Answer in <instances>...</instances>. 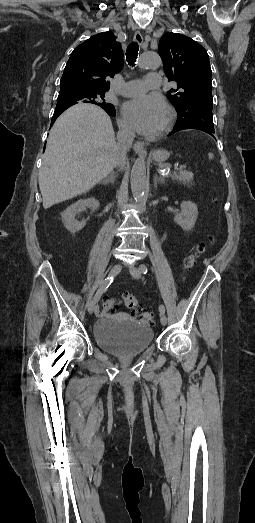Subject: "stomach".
<instances>
[{
	"label": "stomach",
	"instance_id": "stomach-1",
	"mask_svg": "<svg viewBox=\"0 0 255 523\" xmlns=\"http://www.w3.org/2000/svg\"><path fill=\"white\" fill-rule=\"evenodd\" d=\"M153 158L154 160H156V162H161V160H165L167 156L164 150H158V152H155V154H153Z\"/></svg>",
	"mask_w": 255,
	"mask_h": 523
}]
</instances>
